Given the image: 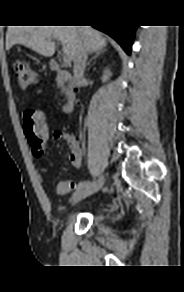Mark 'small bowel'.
Segmentation results:
<instances>
[{"label": "small bowel", "instance_id": "c3829d8e", "mask_svg": "<svg viewBox=\"0 0 184 292\" xmlns=\"http://www.w3.org/2000/svg\"><path fill=\"white\" fill-rule=\"evenodd\" d=\"M53 137L56 140L64 139L69 147L70 154L69 160L71 166L73 168L79 169L82 166V149L75 139V137L71 134L62 132V131H54ZM46 170V168H43ZM72 188V184L69 181H61L57 184V192L58 194H66Z\"/></svg>", "mask_w": 184, "mask_h": 292}]
</instances>
